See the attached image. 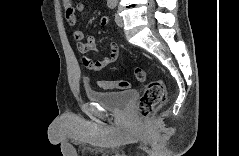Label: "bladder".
<instances>
[{
  "instance_id": "1",
  "label": "bladder",
  "mask_w": 239,
  "mask_h": 156,
  "mask_svg": "<svg viewBox=\"0 0 239 156\" xmlns=\"http://www.w3.org/2000/svg\"><path fill=\"white\" fill-rule=\"evenodd\" d=\"M134 95L135 92L133 90L121 92H104L93 89L86 90V97L89 101L113 112L124 111L133 100Z\"/></svg>"
}]
</instances>
